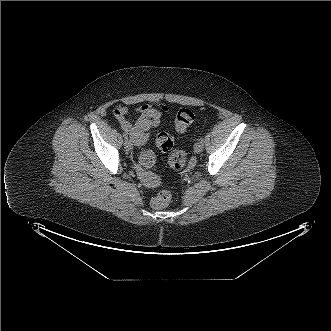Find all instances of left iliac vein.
<instances>
[{
    "mask_svg": "<svg viewBox=\"0 0 331 331\" xmlns=\"http://www.w3.org/2000/svg\"><path fill=\"white\" fill-rule=\"evenodd\" d=\"M202 150H203V144H202L200 141L196 142V143L194 144V151H195L196 153H201Z\"/></svg>",
    "mask_w": 331,
    "mask_h": 331,
    "instance_id": "1",
    "label": "left iliac vein"
}]
</instances>
